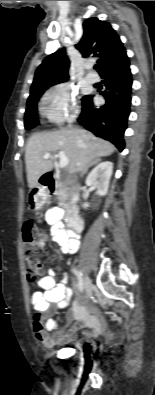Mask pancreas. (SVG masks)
Returning <instances> with one entry per match:
<instances>
[{
  "label": "pancreas",
  "mask_w": 155,
  "mask_h": 395,
  "mask_svg": "<svg viewBox=\"0 0 155 395\" xmlns=\"http://www.w3.org/2000/svg\"><path fill=\"white\" fill-rule=\"evenodd\" d=\"M56 195H57V199L59 200V204H60V206H63V207H66L67 205H66V200H67V198H68V193H67V190L66 189H64V188H60V189H58L57 191H56V193H55Z\"/></svg>",
  "instance_id": "obj_1"
}]
</instances>
